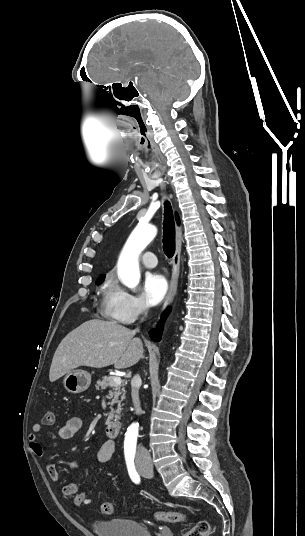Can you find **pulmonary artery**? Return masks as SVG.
<instances>
[{
	"mask_svg": "<svg viewBox=\"0 0 305 536\" xmlns=\"http://www.w3.org/2000/svg\"><path fill=\"white\" fill-rule=\"evenodd\" d=\"M139 261L148 268H154L157 265L156 256L151 251L143 252L139 257Z\"/></svg>",
	"mask_w": 305,
	"mask_h": 536,
	"instance_id": "pulmonary-artery-1",
	"label": "pulmonary artery"
}]
</instances>
